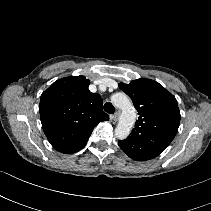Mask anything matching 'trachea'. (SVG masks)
<instances>
[{"label":"trachea","mask_w":211,"mask_h":211,"mask_svg":"<svg viewBox=\"0 0 211 211\" xmlns=\"http://www.w3.org/2000/svg\"><path fill=\"white\" fill-rule=\"evenodd\" d=\"M104 111L109 114H113L115 112V108L110 102H106L104 104Z\"/></svg>","instance_id":"3493384b"}]
</instances>
